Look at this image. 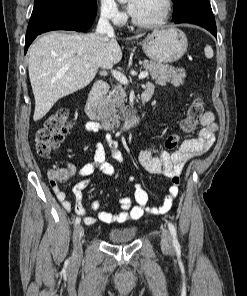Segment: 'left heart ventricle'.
<instances>
[{
    "label": "left heart ventricle",
    "instance_id": "left-heart-ventricle-1",
    "mask_svg": "<svg viewBox=\"0 0 247 296\" xmlns=\"http://www.w3.org/2000/svg\"><path fill=\"white\" fill-rule=\"evenodd\" d=\"M162 10V0H140L134 17L141 22H150L156 20Z\"/></svg>",
    "mask_w": 247,
    "mask_h": 296
}]
</instances>
